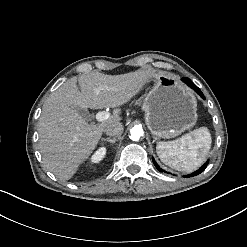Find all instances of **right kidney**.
<instances>
[{
    "mask_svg": "<svg viewBox=\"0 0 247 247\" xmlns=\"http://www.w3.org/2000/svg\"><path fill=\"white\" fill-rule=\"evenodd\" d=\"M106 148L100 147L91 157V163H99L106 155Z\"/></svg>",
    "mask_w": 247,
    "mask_h": 247,
    "instance_id": "1",
    "label": "right kidney"
}]
</instances>
